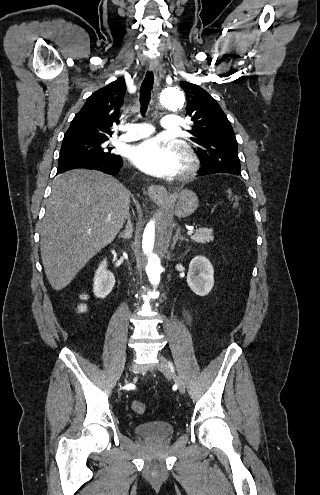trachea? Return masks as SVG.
<instances>
[{
	"instance_id": "3493384b",
	"label": "trachea",
	"mask_w": 320,
	"mask_h": 495,
	"mask_svg": "<svg viewBox=\"0 0 320 495\" xmlns=\"http://www.w3.org/2000/svg\"><path fill=\"white\" fill-rule=\"evenodd\" d=\"M154 82V76L152 72H147L140 89V104L141 114L144 115L147 111L148 102L151 96V89Z\"/></svg>"
}]
</instances>
